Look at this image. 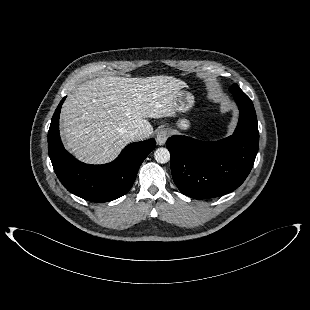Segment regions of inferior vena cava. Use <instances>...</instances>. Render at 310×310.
Returning a JSON list of instances; mask_svg holds the SVG:
<instances>
[{
    "instance_id": "602c4592",
    "label": "inferior vena cava",
    "mask_w": 310,
    "mask_h": 310,
    "mask_svg": "<svg viewBox=\"0 0 310 310\" xmlns=\"http://www.w3.org/2000/svg\"><path fill=\"white\" fill-rule=\"evenodd\" d=\"M128 136L132 141L145 139V134L141 130H132L128 133Z\"/></svg>"
}]
</instances>
